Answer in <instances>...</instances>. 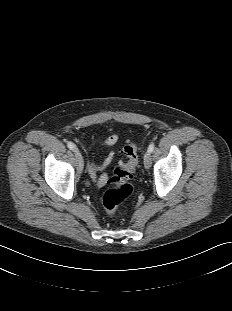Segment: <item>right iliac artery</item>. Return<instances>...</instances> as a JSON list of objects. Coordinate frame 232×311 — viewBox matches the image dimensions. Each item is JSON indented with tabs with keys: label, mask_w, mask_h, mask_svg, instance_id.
Listing matches in <instances>:
<instances>
[{
	"label": "right iliac artery",
	"mask_w": 232,
	"mask_h": 311,
	"mask_svg": "<svg viewBox=\"0 0 232 311\" xmlns=\"http://www.w3.org/2000/svg\"><path fill=\"white\" fill-rule=\"evenodd\" d=\"M67 146L70 150H76V147L72 142H67Z\"/></svg>",
	"instance_id": "82829eb1"
}]
</instances>
